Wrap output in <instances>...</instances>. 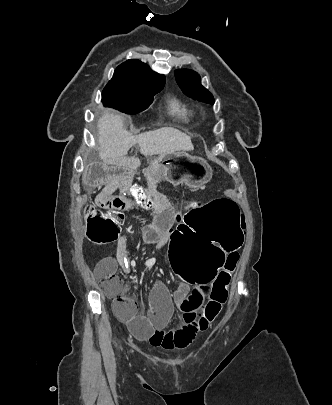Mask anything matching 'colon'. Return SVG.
<instances>
[{"instance_id":"colon-1","label":"colon","mask_w":332,"mask_h":405,"mask_svg":"<svg viewBox=\"0 0 332 405\" xmlns=\"http://www.w3.org/2000/svg\"><path fill=\"white\" fill-rule=\"evenodd\" d=\"M127 191L133 193L128 197L140 204L141 212H154L155 205L158 207L152 202V184H129ZM169 208H175L177 214V208L171 202ZM84 216L87 237L92 242L109 243L118 238L124 217L121 211L109 214L88 205ZM187 218L181 220L175 232L170 234V240H166L165 268H168V275H178L179 281H186L188 287H208L212 281L210 298L198 321L199 328L205 330L227 301L231 276L238 261V256L233 254L242 249L240 207L238 202H231V197H213L211 202L195 205L194 211H188ZM102 287L113 300L118 316H134L137 301L123 279L114 272L108 273Z\"/></svg>"}]
</instances>
